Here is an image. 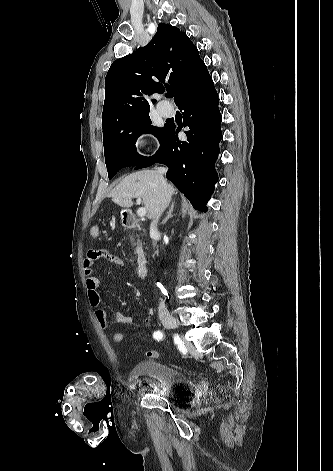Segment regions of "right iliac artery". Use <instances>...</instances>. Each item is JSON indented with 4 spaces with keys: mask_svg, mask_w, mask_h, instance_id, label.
Segmentation results:
<instances>
[{
    "mask_svg": "<svg viewBox=\"0 0 333 471\" xmlns=\"http://www.w3.org/2000/svg\"><path fill=\"white\" fill-rule=\"evenodd\" d=\"M153 338L159 341L163 338V333L161 331H155L153 333Z\"/></svg>",
    "mask_w": 333,
    "mask_h": 471,
    "instance_id": "1",
    "label": "right iliac artery"
}]
</instances>
